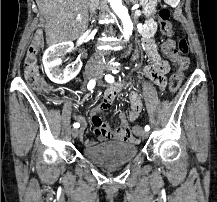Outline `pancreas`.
Here are the masks:
<instances>
[{
    "label": "pancreas",
    "instance_id": "pancreas-1",
    "mask_svg": "<svg viewBox=\"0 0 217 202\" xmlns=\"http://www.w3.org/2000/svg\"><path fill=\"white\" fill-rule=\"evenodd\" d=\"M141 34L147 38H154V35H157L158 31L157 30H142Z\"/></svg>",
    "mask_w": 217,
    "mask_h": 202
}]
</instances>
